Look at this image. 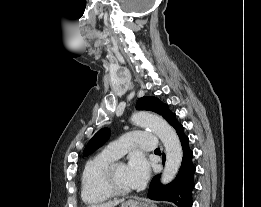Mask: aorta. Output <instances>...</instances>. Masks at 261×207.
Returning a JSON list of instances; mask_svg holds the SVG:
<instances>
[{"label": "aorta", "instance_id": "762f6f07", "mask_svg": "<svg viewBox=\"0 0 261 207\" xmlns=\"http://www.w3.org/2000/svg\"><path fill=\"white\" fill-rule=\"evenodd\" d=\"M131 122L155 133L165 147L166 162L161 182L168 184L176 176L182 162L183 151L175 130L161 117L147 111H139L132 115Z\"/></svg>", "mask_w": 261, "mask_h": 207}]
</instances>
